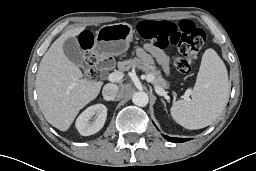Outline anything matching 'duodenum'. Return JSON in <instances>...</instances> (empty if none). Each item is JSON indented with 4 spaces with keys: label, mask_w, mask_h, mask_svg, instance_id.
Instances as JSON below:
<instances>
[{
    "label": "duodenum",
    "mask_w": 256,
    "mask_h": 171,
    "mask_svg": "<svg viewBox=\"0 0 256 171\" xmlns=\"http://www.w3.org/2000/svg\"><path fill=\"white\" fill-rule=\"evenodd\" d=\"M96 65L100 69H109L113 66V60L110 57H102L96 60Z\"/></svg>",
    "instance_id": "obj_1"
}]
</instances>
